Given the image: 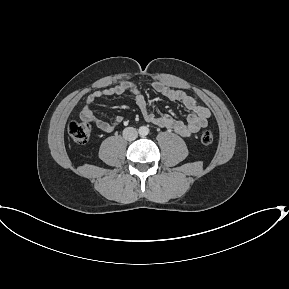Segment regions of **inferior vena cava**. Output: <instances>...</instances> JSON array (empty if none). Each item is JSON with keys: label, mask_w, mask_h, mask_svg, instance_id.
I'll return each instance as SVG.
<instances>
[{"label": "inferior vena cava", "mask_w": 289, "mask_h": 289, "mask_svg": "<svg viewBox=\"0 0 289 289\" xmlns=\"http://www.w3.org/2000/svg\"><path fill=\"white\" fill-rule=\"evenodd\" d=\"M138 132L133 127H127L123 130V137L128 141H133L137 138Z\"/></svg>", "instance_id": "602c4592"}]
</instances>
